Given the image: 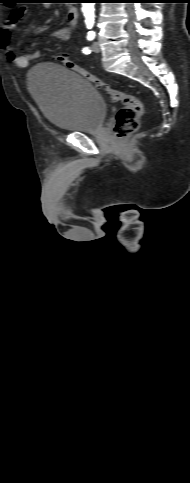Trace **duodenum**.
<instances>
[{
  "label": "duodenum",
  "mask_w": 190,
  "mask_h": 483,
  "mask_svg": "<svg viewBox=\"0 0 190 483\" xmlns=\"http://www.w3.org/2000/svg\"><path fill=\"white\" fill-rule=\"evenodd\" d=\"M67 17H68L69 23L72 26H74L77 23L78 17H79V13H78L77 7H75V6L69 7L68 13H67Z\"/></svg>",
  "instance_id": "410a0bca"
}]
</instances>
